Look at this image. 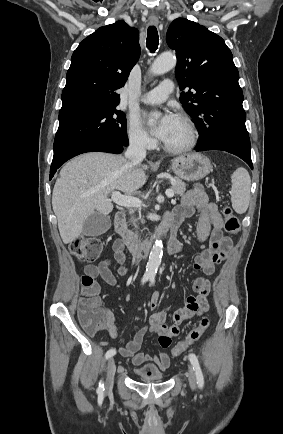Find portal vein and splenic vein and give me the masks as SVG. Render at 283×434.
Here are the masks:
<instances>
[{"instance_id": "1", "label": "portal vein and splenic vein", "mask_w": 283, "mask_h": 434, "mask_svg": "<svg viewBox=\"0 0 283 434\" xmlns=\"http://www.w3.org/2000/svg\"><path fill=\"white\" fill-rule=\"evenodd\" d=\"M166 196L172 198L174 196V192L171 189L166 190ZM111 200L123 207H135L141 208L142 201L139 198L129 196V195H121L119 192L115 191L111 195Z\"/></svg>"}]
</instances>
